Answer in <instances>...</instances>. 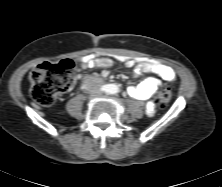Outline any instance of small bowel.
<instances>
[{
	"label": "small bowel",
	"instance_id": "1",
	"mask_svg": "<svg viewBox=\"0 0 222 187\" xmlns=\"http://www.w3.org/2000/svg\"><path fill=\"white\" fill-rule=\"evenodd\" d=\"M115 62L124 64L126 67L131 68L135 76H139L143 73H153L158 77H150L142 81L137 86H131L128 88L130 96L139 100H149L161 85V80L174 81L177 78L174 69L162 62L144 58H131L124 55H115L113 57L106 56L104 54H89L81 58L77 64V71L86 68H109ZM81 78V75H77ZM152 103H148V114L153 113Z\"/></svg>",
	"mask_w": 222,
	"mask_h": 187
}]
</instances>
